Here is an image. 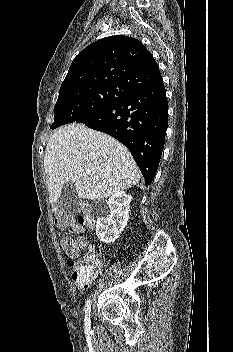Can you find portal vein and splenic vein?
I'll return each instance as SVG.
<instances>
[{
	"label": "portal vein and splenic vein",
	"instance_id": "portal-vein-and-splenic-vein-1",
	"mask_svg": "<svg viewBox=\"0 0 233 352\" xmlns=\"http://www.w3.org/2000/svg\"><path fill=\"white\" fill-rule=\"evenodd\" d=\"M86 173H87V174H90V173H91V171H90V170H86Z\"/></svg>",
	"mask_w": 233,
	"mask_h": 352
}]
</instances>
